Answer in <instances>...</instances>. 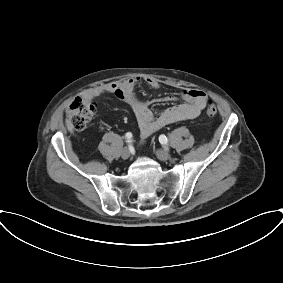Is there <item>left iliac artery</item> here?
Instances as JSON below:
<instances>
[{
    "label": "left iliac artery",
    "mask_w": 283,
    "mask_h": 283,
    "mask_svg": "<svg viewBox=\"0 0 283 283\" xmlns=\"http://www.w3.org/2000/svg\"><path fill=\"white\" fill-rule=\"evenodd\" d=\"M159 142L161 144H167L168 139H167V137L165 135L162 134V135L159 136Z\"/></svg>",
    "instance_id": "1"
}]
</instances>
